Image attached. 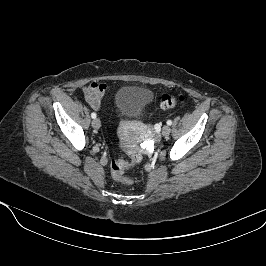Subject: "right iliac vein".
Returning <instances> with one entry per match:
<instances>
[{
  "instance_id": "63e3f726",
  "label": "right iliac vein",
  "mask_w": 266,
  "mask_h": 266,
  "mask_svg": "<svg viewBox=\"0 0 266 266\" xmlns=\"http://www.w3.org/2000/svg\"><path fill=\"white\" fill-rule=\"evenodd\" d=\"M92 126H93V128H95V129H99V128L101 127V121H100V119L95 118V119L92 121Z\"/></svg>"
}]
</instances>
